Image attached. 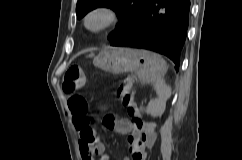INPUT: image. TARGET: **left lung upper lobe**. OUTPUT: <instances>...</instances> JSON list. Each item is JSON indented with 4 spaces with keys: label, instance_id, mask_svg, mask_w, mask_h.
Returning a JSON list of instances; mask_svg holds the SVG:
<instances>
[{
    "label": "left lung upper lobe",
    "instance_id": "left-lung-upper-lobe-1",
    "mask_svg": "<svg viewBox=\"0 0 242 160\" xmlns=\"http://www.w3.org/2000/svg\"><path fill=\"white\" fill-rule=\"evenodd\" d=\"M148 0H78L76 14L80 19L89 11L97 7L113 9L120 19L116 29L110 33L111 41L126 35L133 27L136 20L142 14Z\"/></svg>",
    "mask_w": 242,
    "mask_h": 160
}]
</instances>
